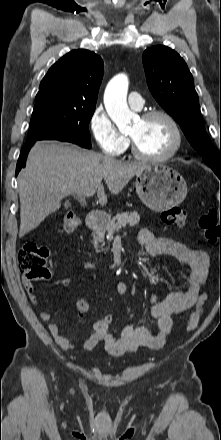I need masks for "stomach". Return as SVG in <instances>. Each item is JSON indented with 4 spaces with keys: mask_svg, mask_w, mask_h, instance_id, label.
<instances>
[{
    "mask_svg": "<svg viewBox=\"0 0 221 440\" xmlns=\"http://www.w3.org/2000/svg\"><path fill=\"white\" fill-rule=\"evenodd\" d=\"M135 186L139 198L153 211H165L179 205L187 195L183 176L162 164L148 165L137 173Z\"/></svg>",
    "mask_w": 221,
    "mask_h": 440,
    "instance_id": "stomach-1",
    "label": "stomach"
}]
</instances>
